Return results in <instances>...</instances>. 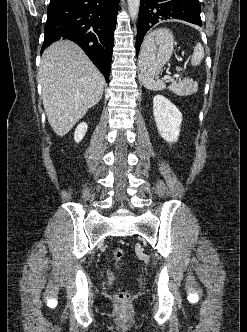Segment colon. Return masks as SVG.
<instances>
[{"instance_id":"colon-1","label":"colon","mask_w":247,"mask_h":332,"mask_svg":"<svg viewBox=\"0 0 247 332\" xmlns=\"http://www.w3.org/2000/svg\"><path fill=\"white\" fill-rule=\"evenodd\" d=\"M113 257L116 260V262H120L122 261L123 257H124V250L122 248H115L113 250ZM116 299L120 302V303H127L130 299V295L127 291H119L116 294Z\"/></svg>"}]
</instances>
